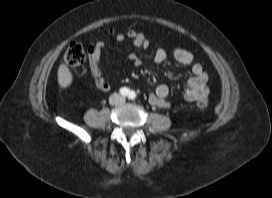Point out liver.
Here are the masks:
<instances>
[{
	"instance_id": "liver-1",
	"label": "liver",
	"mask_w": 272,
	"mask_h": 198,
	"mask_svg": "<svg viewBox=\"0 0 272 198\" xmlns=\"http://www.w3.org/2000/svg\"><path fill=\"white\" fill-rule=\"evenodd\" d=\"M57 75L58 83L61 88L65 89L72 84L73 75L65 64H60Z\"/></svg>"
}]
</instances>
